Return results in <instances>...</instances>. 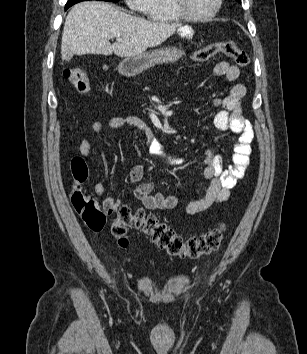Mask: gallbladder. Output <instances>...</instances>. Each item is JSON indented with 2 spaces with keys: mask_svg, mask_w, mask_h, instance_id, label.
I'll return each mask as SVG.
<instances>
[{
  "mask_svg": "<svg viewBox=\"0 0 307 354\" xmlns=\"http://www.w3.org/2000/svg\"><path fill=\"white\" fill-rule=\"evenodd\" d=\"M72 57H73V55H72L71 53H68V54H66V55L64 56V59H65L66 61H70V60L72 59Z\"/></svg>",
  "mask_w": 307,
  "mask_h": 354,
  "instance_id": "bac80fb5",
  "label": "gallbladder"
}]
</instances>
